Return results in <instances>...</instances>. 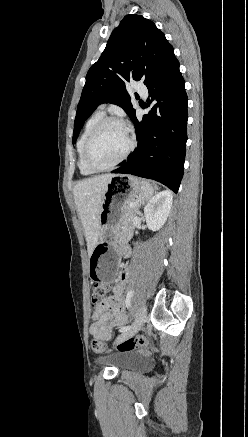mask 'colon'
I'll return each mask as SVG.
<instances>
[{"label":"colon","instance_id":"1","mask_svg":"<svg viewBox=\"0 0 248 437\" xmlns=\"http://www.w3.org/2000/svg\"><path fill=\"white\" fill-rule=\"evenodd\" d=\"M109 286H92L91 300L93 304L101 302L109 293ZM149 345V340L146 337L139 336L135 338H127L122 340L118 345L119 351H133L143 349ZM91 347L94 352L102 353L106 349V344L99 339H94L91 342Z\"/></svg>","mask_w":248,"mask_h":437}]
</instances>
